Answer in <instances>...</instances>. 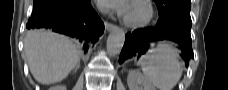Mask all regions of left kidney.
I'll use <instances>...</instances> for the list:
<instances>
[{
    "instance_id": "obj_1",
    "label": "left kidney",
    "mask_w": 228,
    "mask_h": 90,
    "mask_svg": "<svg viewBox=\"0 0 228 90\" xmlns=\"http://www.w3.org/2000/svg\"><path fill=\"white\" fill-rule=\"evenodd\" d=\"M129 90H156V88L137 70H131L127 77Z\"/></svg>"
}]
</instances>
